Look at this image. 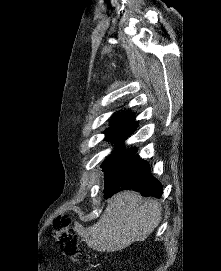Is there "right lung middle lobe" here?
<instances>
[{"label": "right lung middle lobe", "mask_w": 221, "mask_h": 271, "mask_svg": "<svg viewBox=\"0 0 221 271\" xmlns=\"http://www.w3.org/2000/svg\"><path fill=\"white\" fill-rule=\"evenodd\" d=\"M134 131L130 130H121V131H112V130H106L105 139L108 141H114L115 143H118L115 147L114 152L110 155L109 158H107L101 165V168H103V171L110 169L124 161H126L128 158H130L135 152V148H130L128 150H125L123 147L124 145L121 143V141L128 138Z\"/></svg>", "instance_id": "right-lung-middle-lobe-1"}]
</instances>
